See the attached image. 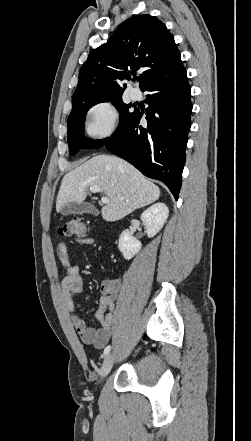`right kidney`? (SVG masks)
Listing matches in <instances>:
<instances>
[{
	"instance_id": "1",
	"label": "right kidney",
	"mask_w": 251,
	"mask_h": 441,
	"mask_svg": "<svg viewBox=\"0 0 251 441\" xmlns=\"http://www.w3.org/2000/svg\"><path fill=\"white\" fill-rule=\"evenodd\" d=\"M168 214L169 209L164 203L153 204L141 214L140 218L149 238L154 237L162 229ZM141 247V242L135 239L128 229L121 233L118 248L126 260L133 258Z\"/></svg>"
}]
</instances>
